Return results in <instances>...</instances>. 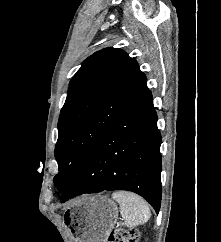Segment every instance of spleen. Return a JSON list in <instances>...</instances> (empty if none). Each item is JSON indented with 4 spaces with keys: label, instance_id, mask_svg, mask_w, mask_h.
<instances>
[{
    "label": "spleen",
    "instance_id": "obj_1",
    "mask_svg": "<svg viewBox=\"0 0 221 242\" xmlns=\"http://www.w3.org/2000/svg\"><path fill=\"white\" fill-rule=\"evenodd\" d=\"M120 205V213L129 228L142 225L150 218V209L144 199L140 196L127 192L118 191L112 194Z\"/></svg>",
    "mask_w": 221,
    "mask_h": 242
}]
</instances>
